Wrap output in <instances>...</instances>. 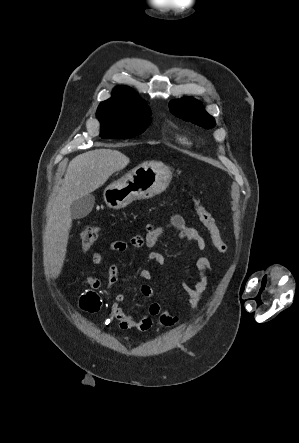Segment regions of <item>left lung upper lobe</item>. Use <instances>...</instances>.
Listing matches in <instances>:
<instances>
[{
  "label": "left lung upper lobe",
  "mask_w": 299,
  "mask_h": 443,
  "mask_svg": "<svg viewBox=\"0 0 299 443\" xmlns=\"http://www.w3.org/2000/svg\"><path fill=\"white\" fill-rule=\"evenodd\" d=\"M170 111L175 116L203 128H213L216 123L214 118L208 114L201 104L192 97H183L169 103Z\"/></svg>",
  "instance_id": "1"
}]
</instances>
